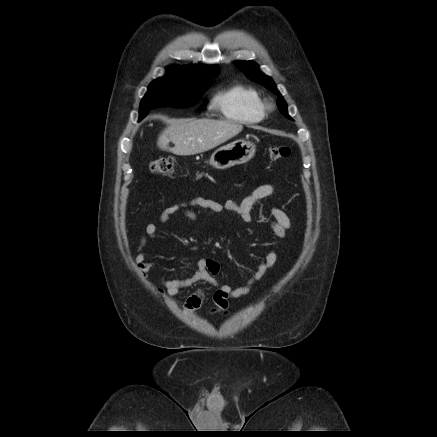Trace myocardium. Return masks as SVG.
Returning <instances> with one entry per match:
<instances>
[{
    "instance_id": "1",
    "label": "myocardium",
    "mask_w": 437,
    "mask_h": 437,
    "mask_svg": "<svg viewBox=\"0 0 437 437\" xmlns=\"http://www.w3.org/2000/svg\"><path fill=\"white\" fill-rule=\"evenodd\" d=\"M266 107H267V108H271V105H270V104H267Z\"/></svg>"
}]
</instances>
